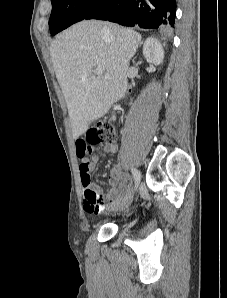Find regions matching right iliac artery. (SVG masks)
<instances>
[{"mask_svg": "<svg viewBox=\"0 0 227 298\" xmlns=\"http://www.w3.org/2000/svg\"><path fill=\"white\" fill-rule=\"evenodd\" d=\"M131 172H132V175H133L134 180H135V186L138 187V185L140 183V180H141L140 172L135 168H132Z\"/></svg>", "mask_w": 227, "mask_h": 298, "instance_id": "82829eb1", "label": "right iliac artery"}]
</instances>
